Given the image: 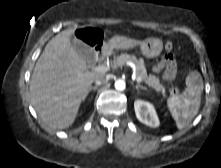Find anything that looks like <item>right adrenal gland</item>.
I'll use <instances>...</instances> for the list:
<instances>
[{
  "instance_id": "obj_1",
  "label": "right adrenal gland",
  "mask_w": 221,
  "mask_h": 168,
  "mask_svg": "<svg viewBox=\"0 0 221 168\" xmlns=\"http://www.w3.org/2000/svg\"><path fill=\"white\" fill-rule=\"evenodd\" d=\"M98 88V86L96 85V86H92V87H90V91L91 90H94V91H96V89Z\"/></svg>"
}]
</instances>
